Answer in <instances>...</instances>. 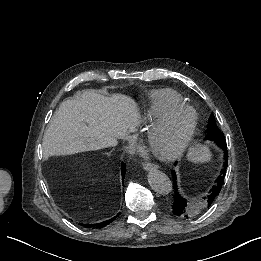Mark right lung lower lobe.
<instances>
[{"label":"right lung lower lobe","instance_id":"right-lung-lower-lobe-1","mask_svg":"<svg viewBox=\"0 0 261 261\" xmlns=\"http://www.w3.org/2000/svg\"><path fill=\"white\" fill-rule=\"evenodd\" d=\"M125 172H126L125 164L122 163V168H121L122 180L124 179ZM119 214H120V213H119ZM119 214H118V215H119ZM118 215H116L115 217L111 218L110 220L103 221V222H100V223H95V224H81V225H83L84 227H89V228H93V229H100V228H103V227L107 226L108 224H110L113 220H115L116 217H118Z\"/></svg>","mask_w":261,"mask_h":261}]
</instances>
